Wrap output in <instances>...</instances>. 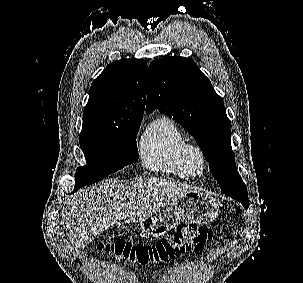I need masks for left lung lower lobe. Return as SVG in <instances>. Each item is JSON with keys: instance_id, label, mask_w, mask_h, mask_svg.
<instances>
[{"instance_id": "0a47b994", "label": "left lung lower lobe", "mask_w": 303, "mask_h": 283, "mask_svg": "<svg viewBox=\"0 0 303 283\" xmlns=\"http://www.w3.org/2000/svg\"><path fill=\"white\" fill-rule=\"evenodd\" d=\"M222 194H225L226 196H230L233 199L241 201L242 205L244 206L245 209L248 208L249 202H248V197L244 194H241L236 191H223L221 192Z\"/></svg>"}]
</instances>
